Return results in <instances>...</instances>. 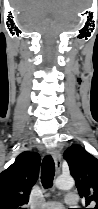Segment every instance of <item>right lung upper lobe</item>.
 I'll return each mask as SVG.
<instances>
[{
  "label": "right lung upper lobe",
  "mask_w": 98,
  "mask_h": 209,
  "mask_svg": "<svg viewBox=\"0 0 98 209\" xmlns=\"http://www.w3.org/2000/svg\"><path fill=\"white\" fill-rule=\"evenodd\" d=\"M41 158L35 152H22L0 173V209H26L29 193L36 183Z\"/></svg>",
  "instance_id": "1"
}]
</instances>
